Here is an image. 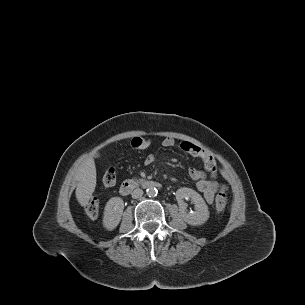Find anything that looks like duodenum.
<instances>
[{
  "mask_svg": "<svg viewBox=\"0 0 305 305\" xmlns=\"http://www.w3.org/2000/svg\"><path fill=\"white\" fill-rule=\"evenodd\" d=\"M138 185H141L146 188H159L162 186V184L158 181L145 180L138 183L134 180H127L121 184L119 192L122 195H129Z\"/></svg>",
  "mask_w": 305,
  "mask_h": 305,
  "instance_id": "obj_1",
  "label": "duodenum"
}]
</instances>
